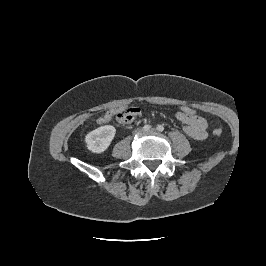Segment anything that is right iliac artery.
<instances>
[{"mask_svg":"<svg viewBox=\"0 0 266 266\" xmlns=\"http://www.w3.org/2000/svg\"><path fill=\"white\" fill-rule=\"evenodd\" d=\"M143 129L144 131H149L151 129V126L147 124L143 127Z\"/></svg>","mask_w":266,"mask_h":266,"instance_id":"obj_1","label":"right iliac artery"}]
</instances>
